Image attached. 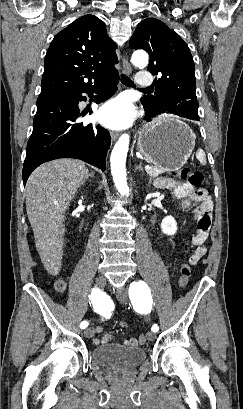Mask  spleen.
Returning a JSON list of instances; mask_svg holds the SVG:
<instances>
[{
  "label": "spleen",
  "instance_id": "spleen-1",
  "mask_svg": "<svg viewBox=\"0 0 243 409\" xmlns=\"http://www.w3.org/2000/svg\"><path fill=\"white\" fill-rule=\"evenodd\" d=\"M196 158L198 159V161L202 164L205 165L206 164V156H205V152L202 149H199L196 153Z\"/></svg>",
  "mask_w": 243,
  "mask_h": 409
}]
</instances>
